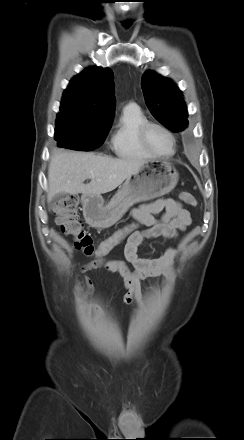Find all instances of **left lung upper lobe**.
Here are the masks:
<instances>
[{"mask_svg": "<svg viewBox=\"0 0 244 440\" xmlns=\"http://www.w3.org/2000/svg\"><path fill=\"white\" fill-rule=\"evenodd\" d=\"M141 87L152 115L172 131H182L188 125V111L178 87L153 71L142 76Z\"/></svg>", "mask_w": 244, "mask_h": 440, "instance_id": "1", "label": "left lung upper lobe"}]
</instances>
